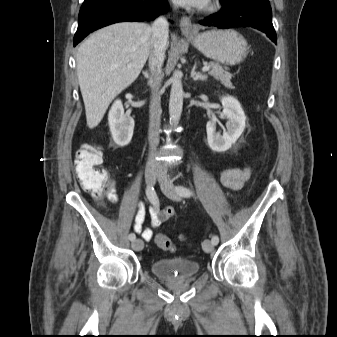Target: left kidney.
I'll list each match as a JSON object with an SVG mask.
<instances>
[{
    "mask_svg": "<svg viewBox=\"0 0 337 337\" xmlns=\"http://www.w3.org/2000/svg\"><path fill=\"white\" fill-rule=\"evenodd\" d=\"M223 111L221 116L226 118V131L223 135L216 133V120L206 125L207 141L209 147L215 152H225L237 141L245 129L246 116L239 101L232 96L221 98Z\"/></svg>",
    "mask_w": 337,
    "mask_h": 337,
    "instance_id": "1",
    "label": "left kidney"
}]
</instances>
